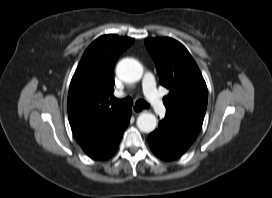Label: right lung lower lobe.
<instances>
[{
  "mask_svg": "<svg viewBox=\"0 0 272 198\" xmlns=\"http://www.w3.org/2000/svg\"><path fill=\"white\" fill-rule=\"evenodd\" d=\"M131 109L124 108L98 131L79 143L84 152L95 160H105L118 149L122 135L129 124Z\"/></svg>",
  "mask_w": 272,
  "mask_h": 198,
  "instance_id": "obj_1",
  "label": "right lung lower lobe"
}]
</instances>
